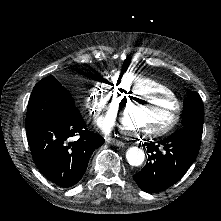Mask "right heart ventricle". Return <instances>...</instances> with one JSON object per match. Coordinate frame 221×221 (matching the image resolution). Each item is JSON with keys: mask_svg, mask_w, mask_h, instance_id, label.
Returning a JSON list of instances; mask_svg holds the SVG:
<instances>
[{"mask_svg": "<svg viewBox=\"0 0 221 221\" xmlns=\"http://www.w3.org/2000/svg\"><path fill=\"white\" fill-rule=\"evenodd\" d=\"M115 83L121 93L124 94V97L136 96L140 98L141 96L148 95L153 91L159 95H163L167 91L166 86L155 79L150 77L138 78L124 72L117 74Z\"/></svg>", "mask_w": 221, "mask_h": 221, "instance_id": "right-heart-ventricle-1", "label": "right heart ventricle"}]
</instances>
